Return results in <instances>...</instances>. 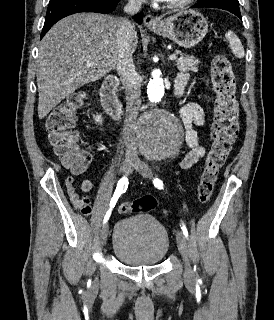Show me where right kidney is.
I'll list each match as a JSON object with an SVG mask.
<instances>
[{"instance_id":"right-kidney-1","label":"right kidney","mask_w":274,"mask_h":320,"mask_svg":"<svg viewBox=\"0 0 274 320\" xmlns=\"http://www.w3.org/2000/svg\"><path fill=\"white\" fill-rule=\"evenodd\" d=\"M93 120L96 122V124H102L103 122V118L102 116H99V114H97V116H93Z\"/></svg>"}]
</instances>
